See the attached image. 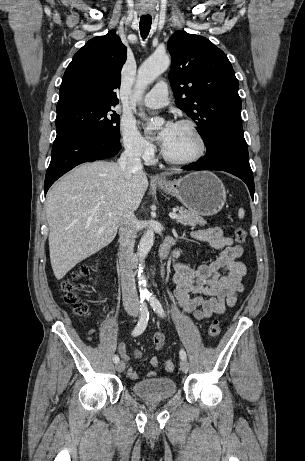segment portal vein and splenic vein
<instances>
[{
    "instance_id": "obj_1",
    "label": "portal vein and splenic vein",
    "mask_w": 305,
    "mask_h": 461,
    "mask_svg": "<svg viewBox=\"0 0 305 461\" xmlns=\"http://www.w3.org/2000/svg\"><path fill=\"white\" fill-rule=\"evenodd\" d=\"M109 216H111V214H109ZM169 216L171 219H176L178 217L176 213H169Z\"/></svg>"
}]
</instances>
